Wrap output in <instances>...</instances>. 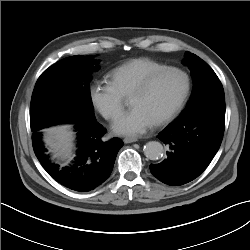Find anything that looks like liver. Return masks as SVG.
I'll return each mask as SVG.
<instances>
[{
    "mask_svg": "<svg viewBox=\"0 0 250 250\" xmlns=\"http://www.w3.org/2000/svg\"><path fill=\"white\" fill-rule=\"evenodd\" d=\"M45 142L55 153L56 157L67 158L70 156L72 146V132L69 126H57L46 129Z\"/></svg>",
    "mask_w": 250,
    "mask_h": 250,
    "instance_id": "1",
    "label": "liver"
}]
</instances>
